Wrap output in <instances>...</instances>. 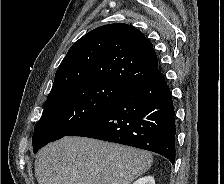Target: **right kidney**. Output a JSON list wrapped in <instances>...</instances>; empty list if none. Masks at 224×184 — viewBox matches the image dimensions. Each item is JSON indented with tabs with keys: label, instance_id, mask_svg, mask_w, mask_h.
<instances>
[{
	"label": "right kidney",
	"instance_id": "right-kidney-1",
	"mask_svg": "<svg viewBox=\"0 0 224 184\" xmlns=\"http://www.w3.org/2000/svg\"><path fill=\"white\" fill-rule=\"evenodd\" d=\"M133 184H155V180L154 177L152 176H145L139 178Z\"/></svg>",
	"mask_w": 224,
	"mask_h": 184
}]
</instances>
